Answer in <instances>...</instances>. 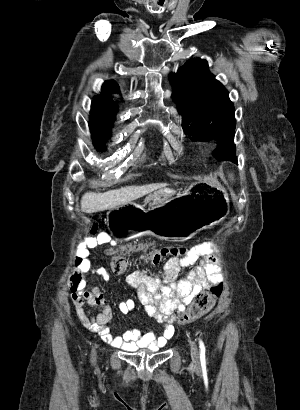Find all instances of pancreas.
<instances>
[{
  "instance_id": "cf45deb5",
  "label": "pancreas",
  "mask_w": 300,
  "mask_h": 410,
  "mask_svg": "<svg viewBox=\"0 0 300 410\" xmlns=\"http://www.w3.org/2000/svg\"><path fill=\"white\" fill-rule=\"evenodd\" d=\"M160 193H161V195H160L158 201H165L170 197L168 194H166L164 192H160Z\"/></svg>"
}]
</instances>
